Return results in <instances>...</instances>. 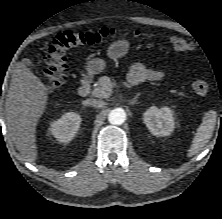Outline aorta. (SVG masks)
<instances>
[{
    "instance_id": "obj_1",
    "label": "aorta",
    "mask_w": 222,
    "mask_h": 219,
    "mask_svg": "<svg viewBox=\"0 0 222 219\" xmlns=\"http://www.w3.org/2000/svg\"><path fill=\"white\" fill-rule=\"evenodd\" d=\"M108 120L113 125H122L126 120V112L122 108H115L109 113Z\"/></svg>"
}]
</instances>
